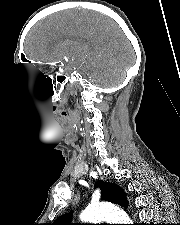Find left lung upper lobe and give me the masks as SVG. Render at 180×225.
<instances>
[{
    "label": "left lung upper lobe",
    "mask_w": 180,
    "mask_h": 225,
    "mask_svg": "<svg viewBox=\"0 0 180 225\" xmlns=\"http://www.w3.org/2000/svg\"><path fill=\"white\" fill-rule=\"evenodd\" d=\"M95 187L101 189V199L127 207V201L124 191L116 184L104 181H97ZM72 213H67L56 219L50 225H75L71 224Z\"/></svg>",
    "instance_id": "1"
}]
</instances>
